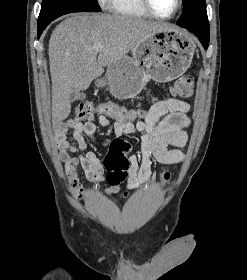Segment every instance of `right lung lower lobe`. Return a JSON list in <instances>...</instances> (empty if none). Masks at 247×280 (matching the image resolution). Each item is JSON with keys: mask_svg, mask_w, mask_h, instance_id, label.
Wrapping results in <instances>:
<instances>
[{"mask_svg": "<svg viewBox=\"0 0 247 280\" xmlns=\"http://www.w3.org/2000/svg\"><path fill=\"white\" fill-rule=\"evenodd\" d=\"M46 28V25L45 26H38V38L41 36L43 30Z\"/></svg>", "mask_w": 247, "mask_h": 280, "instance_id": "1", "label": "right lung lower lobe"}]
</instances>
